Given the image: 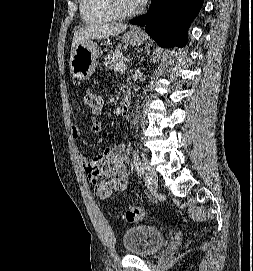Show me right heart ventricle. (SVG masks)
I'll use <instances>...</instances> for the list:
<instances>
[{
  "mask_svg": "<svg viewBox=\"0 0 253 271\" xmlns=\"http://www.w3.org/2000/svg\"><path fill=\"white\" fill-rule=\"evenodd\" d=\"M80 13L87 24H103L116 20L110 0H79Z\"/></svg>",
  "mask_w": 253,
  "mask_h": 271,
  "instance_id": "right-heart-ventricle-1",
  "label": "right heart ventricle"
}]
</instances>
